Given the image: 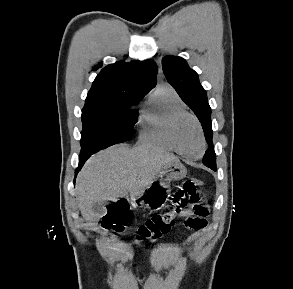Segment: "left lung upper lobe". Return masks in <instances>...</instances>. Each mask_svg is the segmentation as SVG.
<instances>
[{"label":"left lung upper lobe","mask_w":293,"mask_h":289,"mask_svg":"<svg viewBox=\"0 0 293 289\" xmlns=\"http://www.w3.org/2000/svg\"><path fill=\"white\" fill-rule=\"evenodd\" d=\"M162 68L167 81L201 122L206 141L209 144L203 157V164L215 170L216 155L212 143L211 108L207 101L206 91L199 82L198 74L187 65L183 58L176 56L164 57Z\"/></svg>","instance_id":"5c2ea615"}]
</instances>
